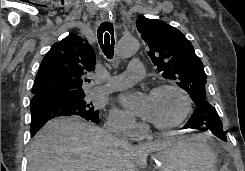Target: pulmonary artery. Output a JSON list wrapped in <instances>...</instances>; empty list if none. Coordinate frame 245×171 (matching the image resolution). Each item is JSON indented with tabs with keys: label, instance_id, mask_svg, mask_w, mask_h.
Listing matches in <instances>:
<instances>
[{
	"label": "pulmonary artery",
	"instance_id": "1",
	"mask_svg": "<svg viewBox=\"0 0 245 171\" xmlns=\"http://www.w3.org/2000/svg\"><path fill=\"white\" fill-rule=\"evenodd\" d=\"M144 74V69L139 59H133L128 69L120 75L113 76L109 79L108 83L104 86L94 87L92 93L95 95H101L125 89L134 84Z\"/></svg>",
	"mask_w": 245,
	"mask_h": 171
}]
</instances>
